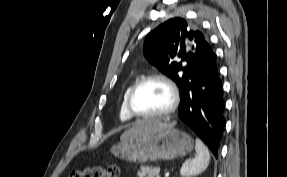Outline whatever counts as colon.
Listing matches in <instances>:
<instances>
[{"mask_svg":"<svg viewBox=\"0 0 287 177\" xmlns=\"http://www.w3.org/2000/svg\"><path fill=\"white\" fill-rule=\"evenodd\" d=\"M116 165H91L83 169L74 170L70 177H122Z\"/></svg>","mask_w":287,"mask_h":177,"instance_id":"5ec220e1","label":"colon"}]
</instances>
